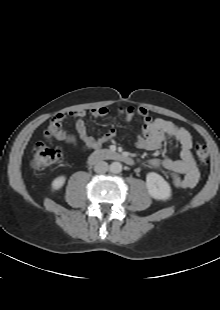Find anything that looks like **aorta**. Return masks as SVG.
Masks as SVG:
<instances>
[{
    "instance_id": "762f6f07",
    "label": "aorta",
    "mask_w": 220,
    "mask_h": 310,
    "mask_svg": "<svg viewBox=\"0 0 220 310\" xmlns=\"http://www.w3.org/2000/svg\"><path fill=\"white\" fill-rule=\"evenodd\" d=\"M110 171L114 174H118L122 171V165L120 162H112L110 165Z\"/></svg>"
}]
</instances>
